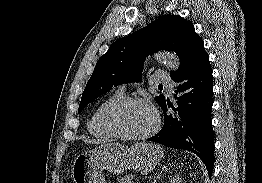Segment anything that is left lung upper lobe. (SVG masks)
I'll use <instances>...</instances> for the list:
<instances>
[{
    "mask_svg": "<svg viewBox=\"0 0 262 183\" xmlns=\"http://www.w3.org/2000/svg\"><path fill=\"white\" fill-rule=\"evenodd\" d=\"M203 48L204 43L191 22L179 15L160 16L146 27L116 40L99 58L82 94L78 112L113 86L141 81L143 62L148 54L159 50L174 51L180 59V70ZM177 71H170V76ZM155 100L161 105L165 97L159 95Z\"/></svg>",
    "mask_w": 262,
    "mask_h": 183,
    "instance_id": "1",
    "label": "left lung upper lobe"
}]
</instances>
